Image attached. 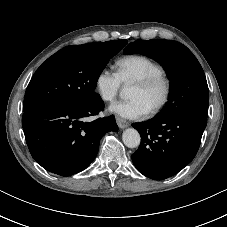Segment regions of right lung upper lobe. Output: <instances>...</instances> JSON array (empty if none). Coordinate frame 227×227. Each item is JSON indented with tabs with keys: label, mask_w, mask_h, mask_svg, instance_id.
Segmentation results:
<instances>
[{
	"label": "right lung upper lobe",
	"mask_w": 227,
	"mask_h": 227,
	"mask_svg": "<svg viewBox=\"0 0 227 227\" xmlns=\"http://www.w3.org/2000/svg\"><path fill=\"white\" fill-rule=\"evenodd\" d=\"M125 42H124V46L127 44V40H124Z\"/></svg>",
	"instance_id": "cb5924a9"
}]
</instances>
